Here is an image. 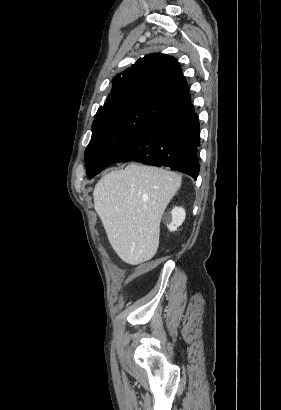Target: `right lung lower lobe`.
I'll use <instances>...</instances> for the list:
<instances>
[{"mask_svg": "<svg viewBox=\"0 0 281 410\" xmlns=\"http://www.w3.org/2000/svg\"><path fill=\"white\" fill-rule=\"evenodd\" d=\"M200 126L188 97L165 108L113 163L169 167L197 179Z\"/></svg>", "mask_w": 281, "mask_h": 410, "instance_id": "obj_1", "label": "right lung lower lobe"}]
</instances>
